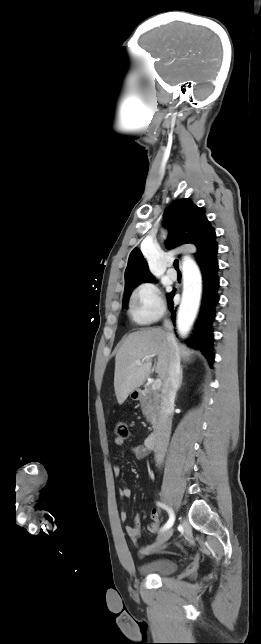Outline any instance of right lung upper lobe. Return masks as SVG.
Masks as SVG:
<instances>
[{"instance_id": "right-lung-upper-lobe-1", "label": "right lung upper lobe", "mask_w": 261, "mask_h": 644, "mask_svg": "<svg viewBox=\"0 0 261 644\" xmlns=\"http://www.w3.org/2000/svg\"><path fill=\"white\" fill-rule=\"evenodd\" d=\"M163 224L170 231L166 241L168 249L182 244H194L197 248L195 257L199 264L216 257L218 247L214 228L210 226L204 210L190 199L174 201L164 213ZM153 280L154 277L141 251L134 248L125 270V289L136 283Z\"/></svg>"}]
</instances>
